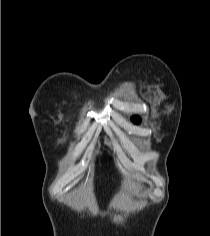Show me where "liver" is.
Listing matches in <instances>:
<instances>
[{"label": "liver", "mask_w": 210, "mask_h": 236, "mask_svg": "<svg viewBox=\"0 0 210 236\" xmlns=\"http://www.w3.org/2000/svg\"><path fill=\"white\" fill-rule=\"evenodd\" d=\"M132 188L134 189L135 192H138V191H139V187L136 186V185H134V184L132 185Z\"/></svg>", "instance_id": "6515ba94"}]
</instances>
